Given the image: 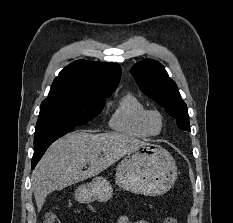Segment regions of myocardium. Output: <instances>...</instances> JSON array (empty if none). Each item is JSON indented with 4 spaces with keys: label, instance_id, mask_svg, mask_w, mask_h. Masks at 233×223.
Masks as SVG:
<instances>
[{
    "label": "myocardium",
    "instance_id": "f54148a6",
    "mask_svg": "<svg viewBox=\"0 0 233 223\" xmlns=\"http://www.w3.org/2000/svg\"><path fill=\"white\" fill-rule=\"evenodd\" d=\"M157 115L161 121H162V124H163V128L160 132L158 133H155L152 129H151V118L153 116ZM143 126L146 130V132L151 135V136H159L161 135L164 131H165V128H166V118L163 114L162 111L158 110V109H147L143 115Z\"/></svg>",
    "mask_w": 233,
    "mask_h": 223
}]
</instances>
